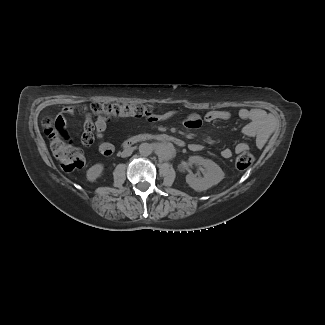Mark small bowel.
Instances as JSON below:
<instances>
[{"mask_svg": "<svg viewBox=\"0 0 325 325\" xmlns=\"http://www.w3.org/2000/svg\"><path fill=\"white\" fill-rule=\"evenodd\" d=\"M74 113V106H67L61 110L59 115L56 117V130L60 136L64 139V142L68 146H77L78 138L72 137L68 132V127L65 118ZM177 115L176 112H168L164 115L156 116L153 120L170 119ZM232 117L231 113L227 110H211L208 111L204 116L197 113H192L184 119V124L189 129H199L204 123L222 122L228 121ZM238 117L242 120H248L249 123L244 127V133L246 135H257V143L260 145L268 133L272 120L271 118L261 109H247L242 108L238 111ZM107 129V121L103 117H97L94 121L91 119H85L84 122V133L82 136V142L86 146L92 145L94 142L97 143L100 154L104 157H110L115 151L113 144L104 140V133ZM189 148L192 151H200L203 146L200 143H192ZM235 152L240 153L248 150L246 143H238L235 146ZM221 156L224 159H229L232 156V150L225 148L221 151Z\"/></svg>", "mask_w": 325, "mask_h": 325, "instance_id": "1", "label": "small bowel"}]
</instances>
